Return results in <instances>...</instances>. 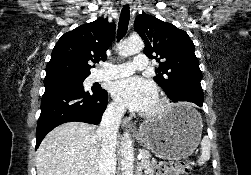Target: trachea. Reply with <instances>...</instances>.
Segmentation results:
<instances>
[{
  "label": "trachea",
  "mask_w": 251,
  "mask_h": 175,
  "mask_svg": "<svg viewBox=\"0 0 251 175\" xmlns=\"http://www.w3.org/2000/svg\"><path fill=\"white\" fill-rule=\"evenodd\" d=\"M129 17H130L129 5H125L122 8L120 18H119L118 32H117L118 41L121 40L127 32Z\"/></svg>",
  "instance_id": "1"
}]
</instances>
